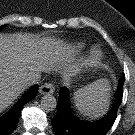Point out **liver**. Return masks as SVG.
I'll return each instance as SVG.
<instances>
[{
	"label": "liver",
	"instance_id": "obj_1",
	"mask_svg": "<svg viewBox=\"0 0 135 135\" xmlns=\"http://www.w3.org/2000/svg\"><path fill=\"white\" fill-rule=\"evenodd\" d=\"M54 40H38L30 34L0 33V113L26 89L28 74L39 78L58 64L67 66L71 51Z\"/></svg>",
	"mask_w": 135,
	"mask_h": 135
}]
</instances>
